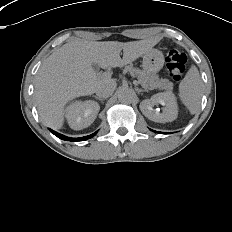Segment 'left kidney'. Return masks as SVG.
<instances>
[{"mask_svg":"<svg viewBox=\"0 0 232 232\" xmlns=\"http://www.w3.org/2000/svg\"><path fill=\"white\" fill-rule=\"evenodd\" d=\"M156 104L164 106L162 113L153 109ZM140 110L145 117L157 123L172 122L178 115L176 97L169 91L157 93L150 99L143 100L140 103Z\"/></svg>","mask_w":232,"mask_h":232,"instance_id":"1","label":"left kidney"}]
</instances>
